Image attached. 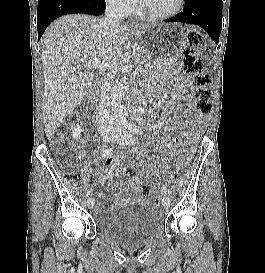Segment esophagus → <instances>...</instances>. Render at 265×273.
<instances>
[{"mask_svg":"<svg viewBox=\"0 0 265 273\" xmlns=\"http://www.w3.org/2000/svg\"><path fill=\"white\" fill-rule=\"evenodd\" d=\"M132 24H133V25H134V24H137V22L133 21Z\"/></svg>","mask_w":265,"mask_h":273,"instance_id":"1","label":"esophagus"}]
</instances>
